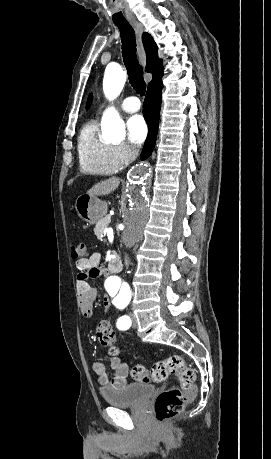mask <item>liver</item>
I'll return each mask as SVG.
<instances>
[{"mask_svg": "<svg viewBox=\"0 0 271 459\" xmlns=\"http://www.w3.org/2000/svg\"><path fill=\"white\" fill-rule=\"evenodd\" d=\"M120 184L119 178H109V180H104V182H99V184H95L91 190H88V196H107V194H111L114 192L116 188H118Z\"/></svg>", "mask_w": 271, "mask_h": 459, "instance_id": "obj_1", "label": "liver"}]
</instances>
